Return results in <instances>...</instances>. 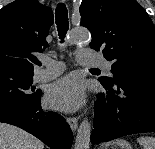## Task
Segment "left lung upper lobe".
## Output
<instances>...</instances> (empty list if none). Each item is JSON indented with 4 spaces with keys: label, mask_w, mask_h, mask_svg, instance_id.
Segmentation results:
<instances>
[{
    "label": "left lung upper lobe",
    "mask_w": 155,
    "mask_h": 149,
    "mask_svg": "<svg viewBox=\"0 0 155 149\" xmlns=\"http://www.w3.org/2000/svg\"><path fill=\"white\" fill-rule=\"evenodd\" d=\"M81 26L92 34V49L102 50L112 61L114 78L125 71L155 68V28L145 9L136 0H82Z\"/></svg>",
    "instance_id": "1"
}]
</instances>
